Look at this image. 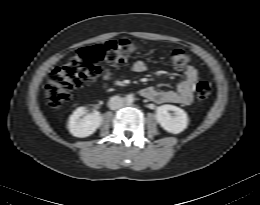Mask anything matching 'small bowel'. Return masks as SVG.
Masks as SVG:
<instances>
[{
  "mask_svg": "<svg viewBox=\"0 0 260 205\" xmlns=\"http://www.w3.org/2000/svg\"><path fill=\"white\" fill-rule=\"evenodd\" d=\"M146 69L147 66L142 60H138L132 65V70L136 73H142ZM184 75L185 79L178 82L173 90H158L149 86L141 89L140 94L142 97L160 104L190 105L193 102L194 91L199 82L198 71L194 66L187 65L184 68ZM113 76L112 70L105 69L102 74L103 84L108 85Z\"/></svg>",
  "mask_w": 260,
  "mask_h": 205,
  "instance_id": "obj_1",
  "label": "small bowel"
}]
</instances>
